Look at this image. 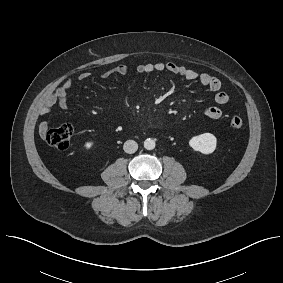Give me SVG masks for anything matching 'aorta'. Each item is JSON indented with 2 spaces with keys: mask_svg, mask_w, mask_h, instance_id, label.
Instances as JSON below:
<instances>
[{
  "mask_svg": "<svg viewBox=\"0 0 283 283\" xmlns=\"http://www.w3.org/2000/svg\"><path fill=\"white\" fill-rule=\"evenodd\" d=\"M144 148L147 150H152L155 148V141L151 138H148L144 141Z\"/></svg>",
  "mask_w": 283,
  "mask_h": 283,
  "instance_id": "1",
  "label": "aorta"
}]
</instances>
